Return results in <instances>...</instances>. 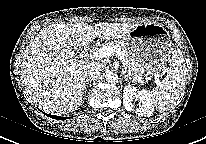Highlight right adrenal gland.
<instances>
[{"mask_svg":"<svg viewBox=\"0 0 206 144\" xmlns=\"http://www.w3.org/2000/svg\"><path fill=\"white\" fill-rule=\"evenodd\" d=\"M89 81H91V79H86V81H85V82H89ZM84 89H85V93H86V84H85Z\"/></svg>","mask_w":206,"mask_h":144,"instance_id":"obj_1","label":"right adrenal gland"}]
</instances>
